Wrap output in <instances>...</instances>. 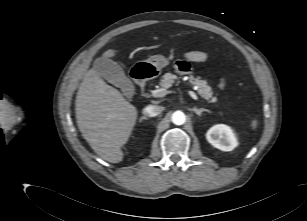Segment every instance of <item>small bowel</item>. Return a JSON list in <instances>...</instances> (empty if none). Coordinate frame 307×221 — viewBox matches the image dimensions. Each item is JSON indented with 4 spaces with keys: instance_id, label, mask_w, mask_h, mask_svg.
<instances>
[{
    "instance_id": "c3829d8e",
    "label": "small bowel",
    "mask_w": 307,
    "mask_h": 221,
    "mask_svg": "<svg viewBox=\"0 0 307 221\" xmlns=\"http://www.w3.org/2000/svg\"><path fill=\"white\" fill-rule=\"evenodd\" d=\"M186 59L188 61L195 62V63H203V62L207 61L208 54L205 51H202V50H195V51L188 52L186 54ZM186 65H187L186 61H182L178 64V67L180 69H182ZM224 86H225V79H221L219 84H218V87L223 88Z\"/></svg>"
}]
</instances>
